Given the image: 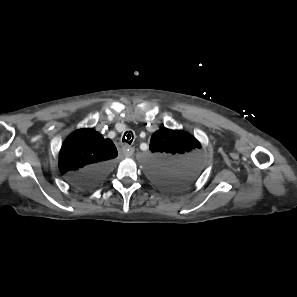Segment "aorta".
I'll list each match as a JSON object with an SVG mask.
<instances>
[{"instance_id":"aorta-1","label":"aorta","mask_w":297,"mask_h":297,"mask_svg":"<svg viewBox=\"0 0 297 297\" xmlns=\"http://www.w3.org/2000/svg\"><path fill=\"white\" fill-rule=\"evenodd\" d=\"M148 166H149V170H150V158H149V165H148ZM149 172H150V171H149Z\"/></svg>"}]
</instances>
